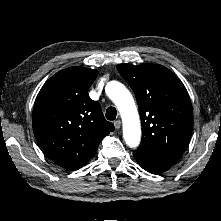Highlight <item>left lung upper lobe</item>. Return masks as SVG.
Wrapping results in <instances>:
<instances>
[{"mask_svg":"<svg viewBox=\"0 0 221 221\" xmlns=\"http://www.w3.org/2000/svg\"><path fill=\"white\" fill-rule=\"evenodd\" d=\"M139 107L142 141L138 148L179 160L192 133L193 111L183 83L159 64H119Z\"/></svg>","mask_w":221,"mask_h":221,"instance_id":"1","label":"left lung upper lobe"}]
</instances>
